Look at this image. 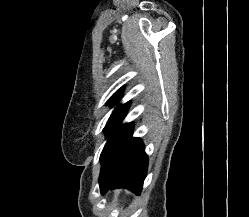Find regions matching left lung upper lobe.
I'll return each mask as SVG.
<instances>
[{
	"instance_id": "left-lung-upper-lobe-1",
	"label": "left lung upper lobe",
	"mask_w": 249,
	"mask_h": 217,
	"mask_svg": "<svg viewBox=\"0 0 249 217\" xmlns=\"http://www.w3.org/2000/svg\"><path fill=\"white\" fill-rule=\"evenodd\" d=\"M122 90H119L111 99V105L117 104L120 97L122 96ZM130 106V102L125 104L118 105L113 113L111 114L105 128L104 132L107 136H109L107 143L105 144L101 156V171L103 170L105 173L109 174L112 167L113 161L115 158L116 148H117V139L121 128V122L126 116L128 108Z\"/></svg>"
}]
</instances>
